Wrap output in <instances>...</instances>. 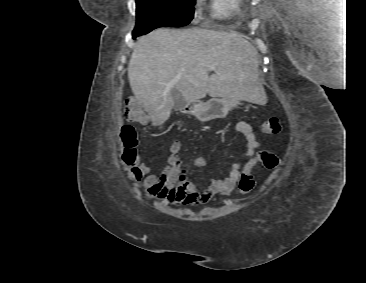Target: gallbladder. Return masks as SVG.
I'll use <instances>...</instances> for the list:
<instances>
[{"label": "gallbladder", "instance_id": "gallbladder-1", "mask_svg": "<svg viewBox=\"0 0 366 283\" xmlns=\"http://www.w3.org/2000/svg\"><path fill=\"white\" fill-rule=\"evenodd\" d=\"M171 95L174 99V110H180L183 105L185 104V100L184 97L182 96V94L177 90V89H172L171 91Z\"/></svg>", "mask_w": 366, "mask_h": 283}]
</instances>
